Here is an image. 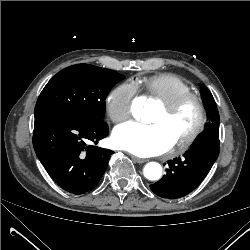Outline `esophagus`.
<instances>
[{"label":"esophagus","mask_w":250,"mask_h":250,"mask_svg":"<svg viewBox=\"0 0 250 250\" xmlns=\"http://www.w3.org/2000/svg\"><path fill=\"white\" fill-rule=\"evenodd\" d=\"M131 158H132V160L134 162H137V163H144V162H146V159H142V158L136 157L134 155H132Z\"/></svg>","instance_id":"1"}]
</instances>
